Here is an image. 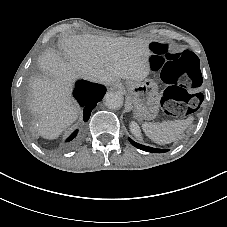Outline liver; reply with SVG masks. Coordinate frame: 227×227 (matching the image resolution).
<instances>
[{
  "instance_id": "liver-1",
  "label": "liver",
  "mask_w": 227,
  "mask_h": 227,
  "mask_svg": "<svg viewBox=\"0 0 227 227\" xmlns=\"http://www.w3.org/2000/svg\"><path fill=\"white\" fill-rule=\"evenodd\" d=\"M149 42L84 34L61 40V54L46 51L38 60L44 74L29 80L28 105L38 115L35 128L39 135L55 139L78 118L79 108L70 98L76 78L112 87L120 79L143 81L150 73Z\"/></svg>"
}]
</instances>
